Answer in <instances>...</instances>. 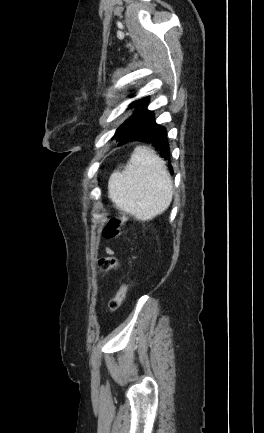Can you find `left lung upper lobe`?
I'll use <instances>...</instances> for the list:
<instances>
[{
  "label": "left lung upper lobe",
  "mask_w": 264,
  "mask_h": 433,
  "mask_svg": "<svg viewBox=\"0 0 264 433\" xmlns=\"http://www.w3.org/2000/svg\"><path fill=\"white\" fill-rule=\"evenodd\" d=\"M135 103H136V101L131 103L129 107L133 106ZM129 134H130V132L123 125H121L117 129L114 137L118 136V141H120V140L124 141V140H126V138L128 137Z\"/></svg>",
  "instance_id": "5c2ea615"
}]
</instances>
